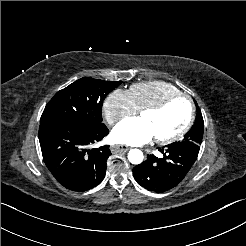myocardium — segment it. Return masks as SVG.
Segmentation results:
<instances>
[{
  "label": "myocardium",
  "instance_id": "1",
  "mask_svg": "<svg viewBox=\"0 0 246 246\" xmlns=\"http://www.w3.org/2000/svg\"><path fill=\"white\" fill-rule=\"evenodd\" d=\"M178 98L185 99L189 105V114H188L186 123L179 131H177L171 136H168L165 138H155V141L158 144L165 145V144L172 143L178 140L179 138H181L191 128L193 120H194V105H193L192 99L186 94L177 93L175 95L167 97L166 99L162 100L161 102L157 104L147 106L139 112V115L146 113V112H160L165 107H167L172 101Z\"/></svg>",
  "mask_w": 246,
  "mask_h": 246
}]
</instances>
